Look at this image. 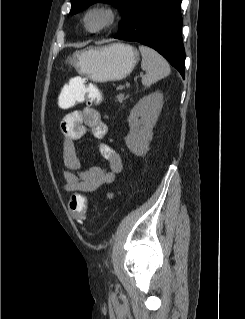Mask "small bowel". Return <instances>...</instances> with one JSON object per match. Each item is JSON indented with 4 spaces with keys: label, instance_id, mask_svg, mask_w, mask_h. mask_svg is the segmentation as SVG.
Listing matches in <instances>:
<instances>
[{
    "label": "small bowel",
    "instance_id": "small-bowel-1",
    "mask_svg": "<svg viewBox=\"0 0 245 319\" xmlns=\"http://www.w3.org/2000/svg\"><path fill=\"white\" fill-rule=\"evenodd\" d=\"M83 84L81 77L71 78L59 94V105L66 104L73 100ZM62 154L66 166L64 172L65 186L67 192L91 193L97 191L101 186L110 184L115 177L123 171V163L119 154L106 143L99 146L102 157L107 161L108 166L101 168L97 166L81 169L75 141L81 139L87 132L96 139H103L107 133V125L101 114L92 106H85L67 113L61 123ZM114 192H109L107 197L112 198Z\"/></svg>",
    "mask_w": 245,
    "mask_h": 319
}]
</instances>
